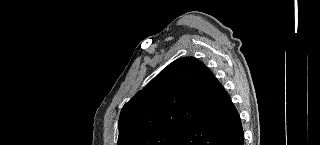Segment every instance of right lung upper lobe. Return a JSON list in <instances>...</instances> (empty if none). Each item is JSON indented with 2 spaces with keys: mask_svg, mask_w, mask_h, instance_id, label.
Listing matches in <instances>:
<instances>
[{
  "mask_svg": "<svg viewBox=\"0 0 320 145\" xmlns=\"http://www.w3.org/2000/svg\"><path fill=\"white\" fill-rule=\"evenodd\" d=\"M221 89L198 59L172 62L122 108L118 145H133L150 133L184 129L209 118L220 106Z\"/></svg>",
  "mask_w": 320,
  "mask_h": 145,
  "instance_id": "cb5924a9",
  "label": "right lung upper lobe"
}]
</instances>
